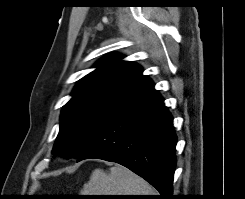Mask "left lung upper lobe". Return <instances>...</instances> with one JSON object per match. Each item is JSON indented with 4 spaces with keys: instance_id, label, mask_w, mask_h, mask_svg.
<instances>
[{
    "instance_id": "obj_1",
    "label": "left lung upper lobe",
    "mask_w": 245,
    "mask_h": 199,
    "mask_svg": "<svg viewBox=\"0 0 245 199\" xmlns=\"http://www.w3.org/2000/svg\"><path fill=\"white\" fill-rule=\"evenodd\" d=\"M122 58L105 57L78 81L63 107L53 154L78 158L101 128L152 84L139 65Z\"/></svg>"
}]
</instances>
